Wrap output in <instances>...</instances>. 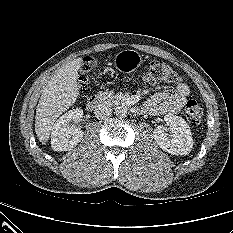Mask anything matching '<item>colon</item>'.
Here are the masks:
<instances>
[{
	"label": "colon",
	"mask_w": 233,
	"mask_h": 233,
	"mask_svg": "<svg viewBox=\"0 0 233 233\" xmlns=\"http://www.w3.org/2000/svg\"><path fill=\"white\" fill-rule=\"evenodd\" d=\"M93 78V68L91 58H85L79 72V91L81 95H87L89 92L90 82ZM140 79L149 84H170L180 81L181 77L168 64L162 61H153L144 68ZM202 108L199 104L191 99L185 106V115L187 120L196 125L202 117Z\"/></svg>",
	"instance_id": "1"
}]
</instances>
